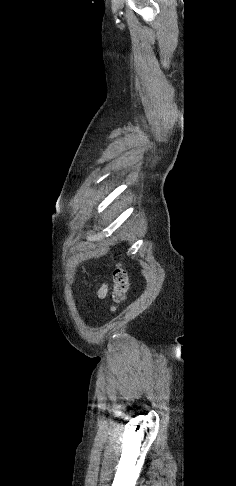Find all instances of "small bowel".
Masks as SVG:
<instances>
[{
  "label": "small bowel",
  "mask_w": 236,
  "mask_h": 486,
  "mask_svg": "<svg viewBox=\"0 0 236 486\" xmlns=\"http://www.w3.org/2000/svg\"><path fill=\"white\" fill-rule=\"evenodd\" d=\"M107 291H108L107 285L106 284L101 285V287L97 292L98 297L101 299L105 298L107 295Z\"/></svg>",
  "instance_id": "1"
}]
</instances>
